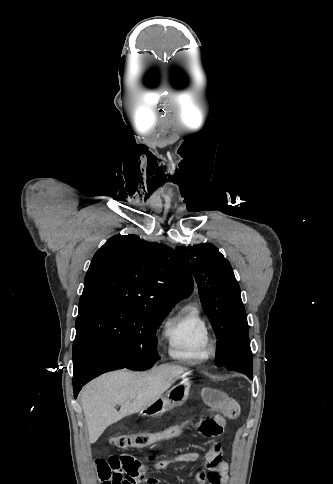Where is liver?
Instances as JSON below:
<instances>
[{"label":"liver","instance_id":"obj_1","mask_svg":"<svg viewBox=\"0 0 333 484\" xmlns=\"http://www.w3.org/2000/svg\"><path fill=\"white\" fill-rule=\"evenodd\" d=\"M186 371L181 366L161 364L145 372H109L89 382L81 392V405L90 442H96L111 424L149 408ZM116 404L121 406L119 412Z\"/></svg>","mask_w":333,"mask_h":484}]
</instances>
